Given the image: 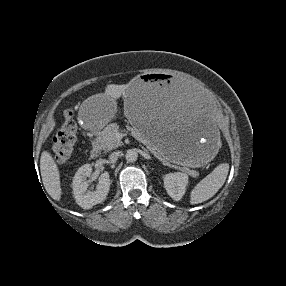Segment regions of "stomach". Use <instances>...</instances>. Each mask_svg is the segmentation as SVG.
<instances>
[{"mask_svg":"<svg viewBox=\"0 0 286 286\" xmlns=\"http://www.w3.org/2000/svg\"><path fill=\"white\" fill-rule=\"evenodd\" d=\"M124 101L132 127L170 162L200 167L214 157L219 142L218 130L211 123L216 105L207 93L178 77L150 73L128 84ZM115 113L112 98L96 93L81 102L77 117L85 128L97 130L111 122Z\"/></svg>","mask_w":286,"mask_h":286,"instance_id":"obj_1","label":"stomach"}]
</instances>
